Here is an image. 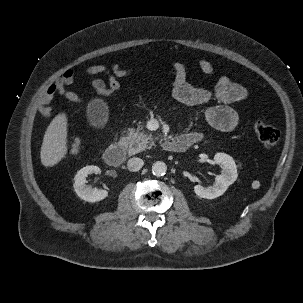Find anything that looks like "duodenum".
Segmentation results:
<instances>
[{"label":"duodenum","mask_w":303,"mask_h":303,"mask_svg":"<svg viewBox=\"0 0 303 303\" xmlns=\"http://www.w3.org/2000/svg\"><path fill=\"white\" fill-rule=\"evenodd\" d=\"M193 144V140L184 135L176 136L165 140L162 147L167 152L180 153L188 149ZM125 147L123 144L115 142L111 144L104 153V160L109 166H119L125 158Z\"/></svg>","instance_id":"obj_1"}]
</instances>
